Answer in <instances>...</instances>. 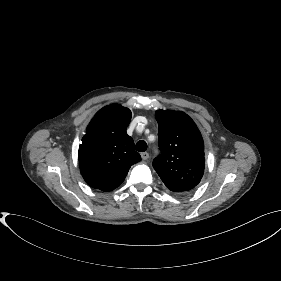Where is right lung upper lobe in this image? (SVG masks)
<instances>
[{"label": "right lung upper lobe", "instance_id": "1", "mask_svg": "<svg viewBox=\"0 0 281 281\" xmlns=\"http://www.w3.org/2000/svg\"><path fill=\"white\" fill-rule=\"evenodd\" d=\"M131 111L118 104L99 110L79 146L80 171L93 188L111 191L125 179L129 168L141 160L126 128Z\"/></svg>", "mask_w": 281, "mask_h": 281}]
</instances>
